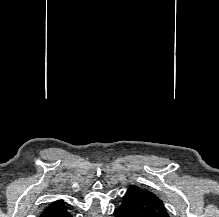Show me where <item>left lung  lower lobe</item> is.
Listing matches in <instances>:
<instances>
[{"mask_svg":"<svg viewBox=\"0 0 219 217\" xmlns=\"http://www.w3.org/2000/svg\"><path fill=\"white\" fill-rule=\"evenodd\" d=\"M114 214L115 217H138L127 205H120Z\"/></svg>","mask_w":219,"mask_h":217,"instance_id":"0a47b994","label":"left lung lower lobe"}]
</instances>
